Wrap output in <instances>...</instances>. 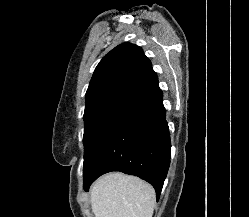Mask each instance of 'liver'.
<instances>
[{
    "instance_id": "6515ba94",
    "label": "liver",
    "mask_w": 249,
    "mask_h": 217,
    "mask_svg": "<svg viewBox=\"0 0 249 217\" xmlns=\"http://www.w3.org/2000/svg\"><path fill=\"white\" fill-rule=\"evenodd\" d=\"M90 202L95 217H152L155 190L137 177L110 173L94 183Z\"/></svg>"
}]
</instances>
